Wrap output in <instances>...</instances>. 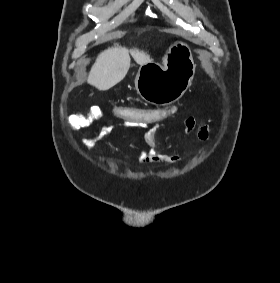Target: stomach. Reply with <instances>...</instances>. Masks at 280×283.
<instances>
[{
    "instance_id": "1",
    "label": "stomach",
    "mask_w": 280,
    "mask_h": 283,
    "mask_svg": "<svg viewBox=\"0 0 280 283\" xmlns=\"http://www.w3.org/2000/svg\"><path fill=\"white\" fill-rule=\"evenodd\" d=\"M195 67L189 45L175 41L166 50L162 64L149 62L140 66L135 78L136 91L151 104L174 103L191 85Z\"/></svg>"
}]
</instances>
